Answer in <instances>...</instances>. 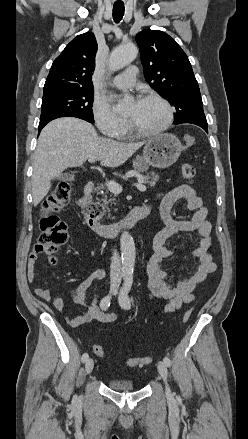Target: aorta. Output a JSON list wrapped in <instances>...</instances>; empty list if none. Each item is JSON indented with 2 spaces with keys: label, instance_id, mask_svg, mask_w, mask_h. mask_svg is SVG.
<instances>
[{
  "label": "aorta",
  "instance_id": "1",
  "mask_svg": "<svg viewBox=\"0 0 248 439\" xmlns=\"http://www.w3.org/2000/svg\"><path fill=\"white\" fill-rule=\"evenodd\" d=\"M138 54V49L134 44L121 45L115 48L109 57V70L111 72L117 71L130 64ZM128 100L124 99L118 102L114 107L115 112H122L126 109ZM121 257H122V274L124 276H132L136 251L135 243L131 234L124 231L120 237Z\"/></svg>",
  "mask_w": 248,
  "mask_h": 439
}]
</instances>
